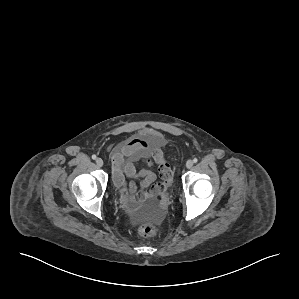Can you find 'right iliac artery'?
I'll return each mask as SVG.
<instances>
[{"label": "right iliac artery", "instance_id": "82829eb1", "mask_svg": "<svg viewBox=\"0 0 299 299\" xmlns=\"http://www.w3.org/2000/svg\"><path fill=\"white\" fill-rule=\"evenodd\" d=\"M97 158L96 155H92V159L95 160Z\"/></svg>", "mask_w": 299, "mask_h": 299}]
</instances>
